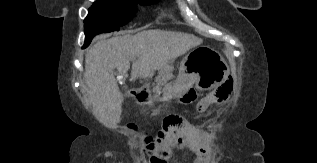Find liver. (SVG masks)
Returning <instances> with one entry per match:
<instances>
[{"label": "liver", "instance_id": "6515ba94", "mask_svg": "<svg viewBox=\"0 0 317 163\" xmlns=\"http://www.w3.org/2000/svg\"><path fill=\"white\" fill-rule=\"evenodd\" d=\"M191 34L150 29L98 40L85 55L84 80L95 118L108 128L120 122L123 96L114 69L127 77L132 62L131 81L152 77L169 61L202 44Z\"/></svg>", "mask_w": 317, "mask_h": 163}]
</instances>
